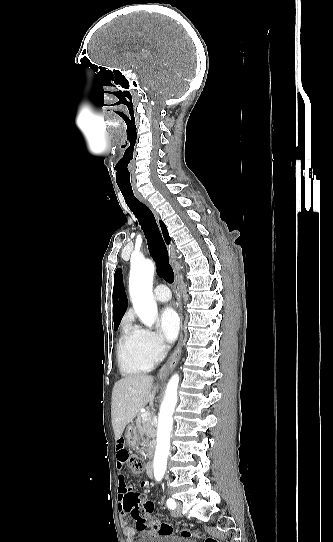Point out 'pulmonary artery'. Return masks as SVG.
Masks as SVG:
<instances>
[{"label":"pulmonary artery","mask_w":333,"mask_h":542,"mask_svg":"<svg viewBox=\"0 0 333 542\" xmlns=\"http://www.w3.org/2000/svg\"><path fill=\"white\" fill-rule=\"evenodd\" d=\"M155 290V299L159 303H167L172 298V293L165 284L157 285Z\"/></svg>","instance_id":"pulmonary-artery-1"}]
</instances>
